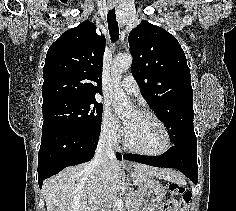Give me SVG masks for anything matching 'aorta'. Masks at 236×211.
Returning a JSON list of instances; mask_svg holds the SVG:
<instances>
[{"instance_id":"obj_1","label":"aorta","mask_w":236,"mask_h":211,"mask_svg":"<svg viewBox=\"0 0 236 211\" xmlns=\"http://www.w3.org/2000/svg\"><path fill=\"white\" fill-rule=\"evenodd\" d=\"M132 62L133 58L130 54L119 55L113 62L112 77L115 84L111 91V97L114 102L115 111L118 114H123L132 109V103L126 98L124 91L118 85L121 75L131 67Z\"/></svg>"}]
</instances>
